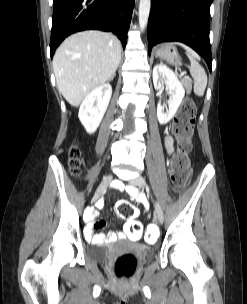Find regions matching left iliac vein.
Wrapping results in <instances>:
<instances>
[{"mask_svg":"<svg viewBox=\"0 0 247 304\" xmlns=\"http://www.w3.org/2000/svg\"><path fill=\"white\" fill-rule=\"evenodd\" d=\"M130 183L134 186L138 187H145L146 182L145 179L142 176H137L133 179L130 180ZM155 220L158 221L159 223H162L164 220V215H163V210L161 205L159 204L158 201L155 202Z\"/></svg>","mask_w":247,"mask_h":304,"instance_id":"4c4485c4","label":"left iliac vein"}]
</instances>
